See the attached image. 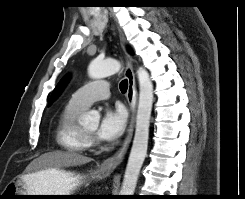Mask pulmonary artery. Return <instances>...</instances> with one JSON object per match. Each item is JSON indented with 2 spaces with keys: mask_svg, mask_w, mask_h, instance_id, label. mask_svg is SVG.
Returning <instances> with one entry per match:
<instances>
[{
  "mask_svg": "<svg viewBox=\"0 0 245 199\" xmlns=\"http://www.w3.org/2000/svg\"><path fill=\"white\" fill-rule=\"evenodd\" d=\"M109 84L106 81H93L79 88L70 98L69 103L86 109L93 102L109 98Z\"/></svg>",
  "mask_w": 245,
  "mask_h": 199,
  "instance_id": "e3ab8cb5",
  "label": "pulmonary artery"
}]
</instances>
